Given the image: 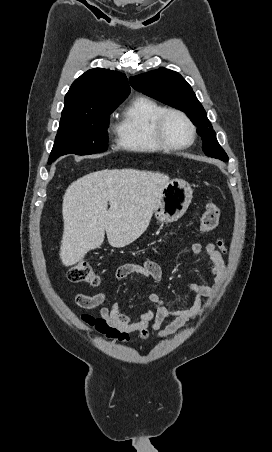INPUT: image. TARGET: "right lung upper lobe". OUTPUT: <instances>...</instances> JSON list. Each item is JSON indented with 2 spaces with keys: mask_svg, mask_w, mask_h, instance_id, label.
Segmentation results:
<instances>
[{
  "mask_svg": "<svg viewBox=\"0 0 272 452\" xmlns=\"http://www.w3.org/2000/svg\"><path fill=\"white\" fill-rule=\"evenodd\" d=\"M129 93L130 86L124 74L103 68L91 69L71 85L65 96L61 119L89 115L120 104Z\"/></svg>",
  "mask_w": 272,
  "mask_h": 452,
  "instance_id": "right-lung-upper-lobe-1",
  "label": "right lung upper lobe"
}]
</instances>
